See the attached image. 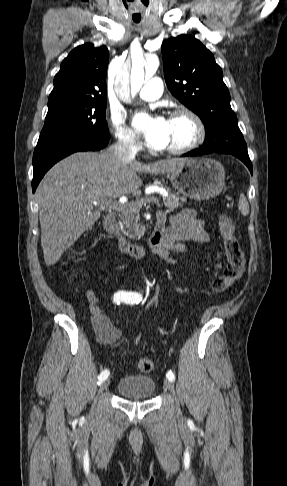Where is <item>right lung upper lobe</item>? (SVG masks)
Instances as JSON below:
<instances>
[{
    "label": "right lung upper lobe",
    "instance_id": "cb5924a9",
    "mask_svg": "<svg viewBox=\"0 0 287 486\" xmlns=\"http://www.w3.org/2000/svg\"><path fill=\"white\" fill-rule=\"evenodd\" d=\"M109 52L106 46L87 43L73 49L62 61L54 77L48 107L83 100L107 99L106 72Z\"/></svg>",
    "mask_w": 287,
    "mask_h": 486
}]
</instances>
